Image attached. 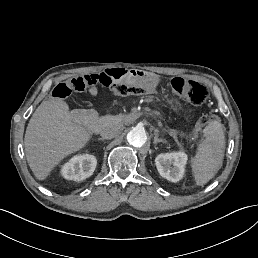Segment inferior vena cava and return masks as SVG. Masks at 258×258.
Segmentation results:
<instances>
[{"label": "inferior vena cava", "mask_w": 258, "mask_h": 258, "mask_svg": "<svg viewBox=\"0 0 258 258\" xmlns=\"http://www.w3.org/2000/svg\"><path fill=\"white\" fill-rule=\"evenodd\" d=\"M119 129L116 125L110 124L101 130L100 135L104 139H112L118 134Z\"/></svg>", "instance_id": "602c4592"}]
</instances>
